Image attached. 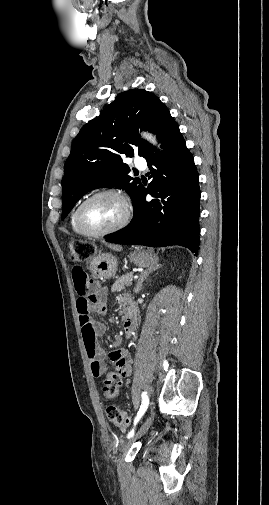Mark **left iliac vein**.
<instances>
[{"instance_id":"left-iliac-vein-1","label":"left iliac vein","mask_w":269,"mask_h":505,"mask_svg":"<svg viewBox=\"0 0 269 505\" xmlns=\"http://www.w3.org/2000/svg\"><path fill=\"white\" fill-rule=\"evenodd\" d=\"M153 420H154V415L151 414L146 420L145 422L141 425V427L139 428V430L136 432L135 435H133L130 439H128L127 441H125L122 445H121V452H126L128 451V449L131 447V445L138 439L140 438L141 436H143L147 431L148 429L151 427L152 423H153Z\"/></svg>"}]
</instances>
